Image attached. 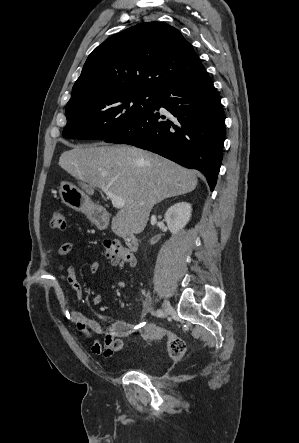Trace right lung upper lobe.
I'll use <instances>...</instances> for the list:
<instances>
[{"instance_id": "right-lung-upper-lobe-1", "label": "right lung upper lobe", "mask_w": 299, "mask_h": 443, "mask_svg": "<svg viewBox=\"0 0 299 443\" xmlns=\"http://www.w3.org/2000/svg\"><path fill=\"white\" fill-rule=\"evenodd\" d=\"M203 69L176 28L162 22L141 23L109 37L92 51L67 104L117 91L156 93Z\"/></svg>"}]
</instances>
